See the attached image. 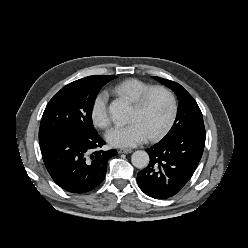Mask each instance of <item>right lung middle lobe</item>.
Instances as JSON below:
<instances>
[{"label":"right lung middle lobe","mask_w":248,"mask_h":248,"mask_svg":"<svg viewBox=\"0 0 248 248\" xmlns=\"http://www.w3.org/2000/svg\"><path fill=\"white\" fill-rule=\"evenodd\" d=\"M108 81L89 76L71 82L47 104L39 128V143L65 131L95 133L92 107L101 87Z\"/></svg>","instance_id":"dd1d6c3e"}]
</instances>
